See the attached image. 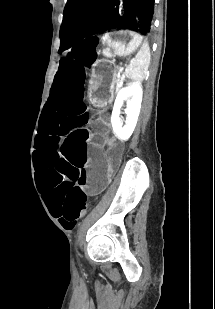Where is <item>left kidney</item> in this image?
<instances>
[{"label": "left kidney", "instance_id": "5707ae66", "mask_svg": "<svg viewBox=\"0 0 215 309\" xmlns=\"http://www.w3.org/2000/svg\"><path fill=\"white\" fill-rule=\"evenodd\" d=\"M142 94L143 92L140 84H136V82H134L131 86L121 88L115 98L111 114V124L116 136H118L120 140H128L136 126L141 108ZM129 96H131V100H128ZM124 100H128V102H126L127 108H125V124H123V120L120 118V108Z\"/></svg>", "mask_w": 215, "mask_h": 309}]
</instances>
